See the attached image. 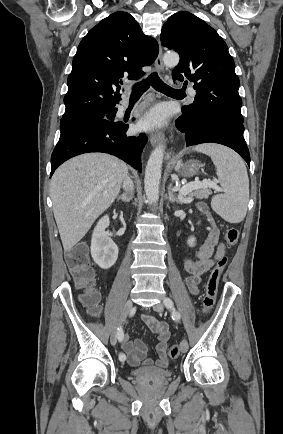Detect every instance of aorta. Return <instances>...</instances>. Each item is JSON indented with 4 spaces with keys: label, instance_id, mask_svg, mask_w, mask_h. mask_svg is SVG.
I'll list each match as a JSON object with an SVG mask.
<instances>
[{
    "label": "aorta",
    "instance_id": "aorta-1",
    "mask_svg": "<svg viewBox=\"0 0 283 434\" xmlns=\"http://www.w3.org/2000/svg\"><path fill=\"white\" fill-rule=\"evenodd\" d=\"M164 64L174 67L179 63L177 53H167L163 57ZM164 145H159L151 153L145 169L144 189L147 199L155 203L159 199V184L161 179V169L164 156Z\"/></svg>",
    "mask_w": 283,
    "mask_h": 434
}]
</instances>
